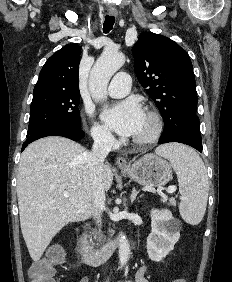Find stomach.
Returning a JSON list of instances; mask_svg holds the SVG:
<instances>
[{"label":"stomach","mask_w":232,"mask_h":282,"mask_svg":"<svg viewBox=\"0 0 232 282\" xmlns=\"http://www.w3.org/2000/svg\"><path fill=\"white\" fill-rule=\"evenodd\" d=\"M123 172L135 182L148 187L163 186L172 178L169 163L152 153L145 154Z\"/></svg>","instance_id":"obj_1"}]
</instances>
